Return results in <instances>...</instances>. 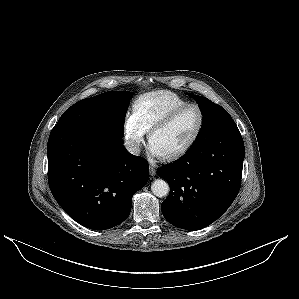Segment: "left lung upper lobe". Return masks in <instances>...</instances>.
I'll list each match as a JSON object with an SVG mask.
<instances>
[{
  "label": "left lung upper lobe",
  "mask_w": 299,
  "mask_h": 299,
  "mask_svg": "<svg viewBox=\"0 0 299 299\" xmlns=\"http://www.w3.org/2000/svg\"><path fill=\"white\" fill-rule=\"evenodd\" d=\"M191 96L199 105V108L203 115V123L197 135V138L192 145L193 147L202 144L208 136L233 120L229 113L220 105H217L202 96Z\"/></svg>",
  "instance_id": "left-lung-upper-lobe-1"
}]
</instances>
